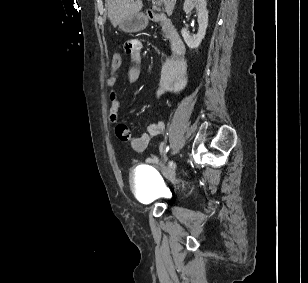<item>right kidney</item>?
Returning a JSON list of instances; mask_svg holds the SVG:
<instances>
[{
    "mask_svg": "<svg viewBox=\"0 0 308 283\" xmlns=\"http://www.w3.org/2000/svg\"><path fill=\"white\" fill-rule=\"evenodd\" d=\"M196 9L199 30L196 35L191 36L186 28L181 30L182 37L191 49L198 48L202 40L205 37L206 29L208 26V10L206 0H185L184 2V12L186 14L191 13L193 9Z\"/></svg>",
    "mask_w": 308,
    "mask_h": 283,
    "instance_id": "ca27d5eb",
    "label": "right kidney"
}]
</instances>
